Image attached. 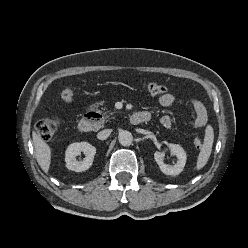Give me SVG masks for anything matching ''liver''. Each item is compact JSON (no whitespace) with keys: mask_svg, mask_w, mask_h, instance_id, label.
Returning a JSON list of instances; mask_svg holds the SVG:
<instances>
[{"mask_svg":"<svg viewBox=\"0 0 248 248\" xmlns=\"http://www.w3.org/2000/svg\"><path fill=\"white\" fill-rule=\"evenodd\" d=\"M32 138L37 162L41 169L47 173L51 163V149L35 131L32 133Z\"/></svg>","mask_w":248,"mask_h":248,"instance_id":"liver-1","label":"liver"}]
</instances>
